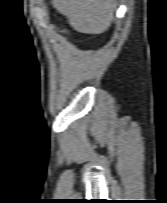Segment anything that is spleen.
<instances>
[{"mask_svg": "<svg viewBox=\"0 0 167 203\" xmlns=\"http://www.w3.org/2000/svg\"><path fill=\"white\" fill-rule=\"evenodd\" d=\"M52 4L76 31L85 34L106 31L116 7L115 0H53Z\"/></svg>", "mask_w": 167, "mask_h": 203, "instance_id": "spleen-1", "label": "spleen"}]
</instances>
